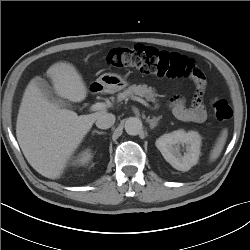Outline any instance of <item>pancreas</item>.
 Instances as JSON below:
<instances>
[{
    "instance_id": "1",
    "label": "pancreas",
    "mask_w": 250,
    "mask_h": 250,
    "mask_svg": "<svg viewBox=\"0 0 250 250\" xmlns=\"http://www.w3.org/2000/svg\"><path fill=\"white\" fill-rule=\"evenodd\" d=\"M138 95L141 97H145L147 101L153 102L155 104V108L159 107L157 103V96L155 89L152 87H148L146 84L144 85H131L126 90L121 93H118L117 99L118 101L125 100L129 96Z\"/></svg>"
}]
</instances>
